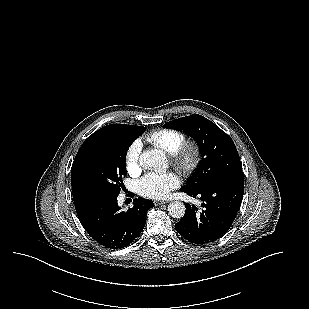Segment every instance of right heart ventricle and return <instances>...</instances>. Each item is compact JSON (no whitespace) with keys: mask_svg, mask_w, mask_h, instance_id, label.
<instances>
[{"mask_svg":"<svg viewBox=\"0 0 309 309\" xmlns=\"http://www.w3.org/2000/svg\"><path fill=\"white\" fill-rule=\"evenodd\" d=\"M152 145L172 154L185 141L183 132L175 129H159L145 137Z\"/></svg>","mask_w":309,"mask_h":309,"instance_id":"obj_1","label":"right heart ventricle"}]
</instances>
